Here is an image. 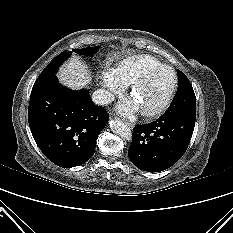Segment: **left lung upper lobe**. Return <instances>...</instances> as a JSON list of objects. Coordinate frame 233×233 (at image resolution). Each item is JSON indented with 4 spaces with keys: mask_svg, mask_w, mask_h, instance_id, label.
I'll list each match as a JSON object with an SVG mask.
<instances>
[{
    "mask_svg": "<svg viewBox=\"0 0 233 233\" xmlns=\"http://www.w3.org/2000/svg\"><path fill=\"white\" fill-rule=\"evenodd\" d=\"M178 89L169 108V112H194L196 111V98L193 87L186 75L177 70Z\"/></svg>",
    "mask_w": 233,
    "mask_h": 233,
    "instance_id": "obj_1",
    "label": "left lung upper lobe"
}]
</instances>
